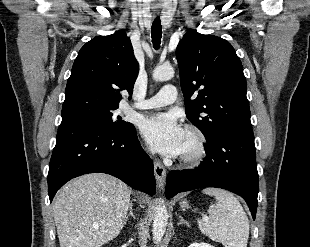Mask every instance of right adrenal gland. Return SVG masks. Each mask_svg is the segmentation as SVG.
<instances>
[{
	"label": "right adrenal gland",
	"instance_id": "obj_1",
	"mask_svg": "<svg viewBox=\"0 0 310 247\" xmlns=\"http://www.w3.org/2000/svg\"><path fill=\"white\" fill-rule=\"evenodd\" d=\"M132 203H130L129 205V213L128 215L125 217V220H124V224L123 225H126L127 224V221L129 220V216H132L133 218H135L134 214H133V209H132Z\"/></svg>",
	"mask_w": 310,
	"mask_h": 247
}]
</instances>
